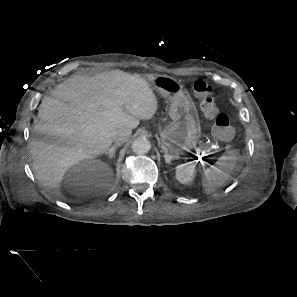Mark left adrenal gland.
I'll return each mask as SVG.
<instances>
[{
	"instance_id": "1",
	"label": "left adrenal gland",
	"mask_w": 297,
	"mask_h": 297,
	"mask_svg": "<svg viewBox=\"0 0 297 297\" xmlns=\"http://www.w3.org/2000/svg\"><path fill=\"white\" fill-rule=\"evenodd\" d=\"M164 152H165V154H164V158H165V162H166L167 164H171V161L177 158V157L174 156V155H169L166 149L164 150Z\"/></svg>"
}]
</instances>
